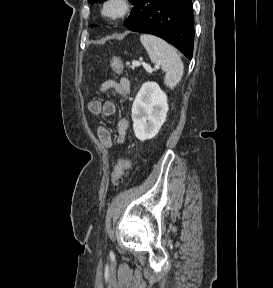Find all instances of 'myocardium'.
<instances>
[{"mask_svg": "<svg viewBox=\"0 0 273 288\" xmlns=\"http://www.w3.org/2000/svg\"><path fill=\"white\" fill-rule=\"evenodd\" d=\"M134 7L132 0H104L100 7V14L105 20L118 21L129 16Z\"/></svg>", "mask_w": 273, "mask_h": 288, "instance_id": "f54148a6", "label": "myocardium"}]
</instances>
